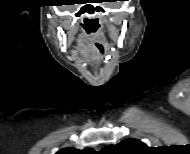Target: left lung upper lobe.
Segmentation results:
<instances>
[{
    "label": "left lung upper lobe",
    "instance_id": "5c2ea615",
    "mask_svg": "<svg viewBox=\"0 0 190 154\" xmlns=\"http://www.w3.org/2000/svg\"><path fill=\"white\" fill-rule=\"evenodd\" d=\"M148 147L137 139H127L117 145H109L103 149L107 153L133 154L144 151Z\"/></svg>",
    "mask_w": 190,
    "mask_h": 154
}]
</instances>
